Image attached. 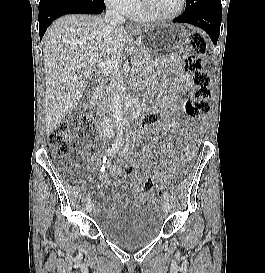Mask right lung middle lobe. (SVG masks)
Segmentation results:
<instances>
[{"label":"right lung middle lobe","mask_w":265,"mask_h":273,"mask_svg":"<svg viewBox=\"0 0 265 273\" xmlns=\"http://www.w3.org/2000/svg\"><path fill=\"white\" fill-rule=\"evenodd\" d=\"M77 1H80V2L95 1V2H98L102 6H105L104 0H77Z\"/></svg>","instance_id":"1"}]
</instances>
